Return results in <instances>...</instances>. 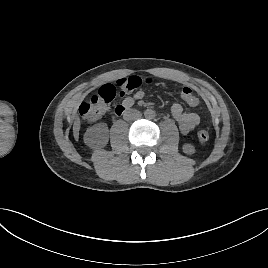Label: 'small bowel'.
I'll list each match as a JSON object with an SVG mask.
<instances>
[{
    "mask_svg": "<svg viewBox=\"0 0 268 268\" xmlns=\"http://www.w3.org/2000/svg\"><path fill=\"white\" fill-rule=\"evenodd\" d=\"M145 96L144 91L139 90L132 96H127L122 101V106L130 108L135 101L142 100ZM171 114L178 123L180 132L183 135L191 134L199 125L200 117L196 113L185 112L183 106L175 103L171 107Z\"/></svg>",
    "mask_w": 268,
    "mask_h": 268,
    "instance_id": "small-bowel-1",
    "label": "small bowel"
}]
</instances>
